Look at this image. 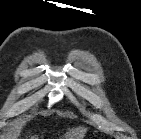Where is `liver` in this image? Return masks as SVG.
I'll return each mask as SVG.
<instances>
[{"label":"liver","instance_id":"6515ba94","mask_svg":"<svg viewBox=\"0 0 141 139\" xmlns=\"http://www.w3.org/2000/svg\"><path fill=\"white\" fill-rule=\"evenodd\" d=\"M83 129L82 128H76L74 130L71 131V136L72 137H78L76 139H80V137L82 136L83 134Z\"/></svg>","mask_w":141,"mask_h":139}]
</instances>
